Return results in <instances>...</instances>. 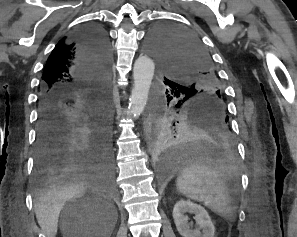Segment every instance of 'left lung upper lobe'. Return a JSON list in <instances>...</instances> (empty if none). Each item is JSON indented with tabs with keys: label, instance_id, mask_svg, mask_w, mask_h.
<instances>
[{
	"label": "left lung upper lobe",
	"instance_id": "left-lung-upper-lobe-1",
	"mask_svg": "<svg viewBox=\"0 0 297 237\" xmlns=\"http://www.w3.org/2000/svg\"><path fill=\"white\" fill-rule=\"evenodd\" d=\"M148 44L168 77H164L165 86L172 93H180V97L172 94L175 102L183 99L188 105H212L227 116L219 77L198 37L178 27L164 25L152 30Z\"/></svg>",
	"mask_w": 297,
	"mask_h": 237
}]
</instances>
